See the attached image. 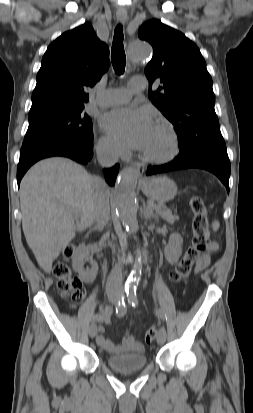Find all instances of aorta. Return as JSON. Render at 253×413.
Returning <instances> with one entry per match:
<instances>
[{"label":"aorta","mask_w":253,"mask_h":413,"mask_svg":"<svg viewBox=\"0 0 253 413\" xmlns=\"http://www.w3.org/2000/svg\"><path fill=\"white\" fill-rule=\"evenodd\" d=\"M151 46L141 40H136L129 47L130 58L135 62L145 61L151 54ZM138 170L133 167L125 168L118 176L115 185V206L116 213L123 225L129 232L135 233L138 230L137 204H136V185ZM141 272L139 264L134 266V273ZM135 279H132L128 287H135Z\"/></svg>","instance_id":"762f6f07"}]
</instances>
